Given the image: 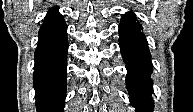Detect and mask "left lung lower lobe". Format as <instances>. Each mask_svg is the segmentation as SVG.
<instances>
[{"label": "left lung lower lobe", "instance_id": "1", "mask_svg": "<svg viewBox=\"0 0 193 112\" xmlns=\"http://www.w3.org/2000/svg\"><path fill=\"white\" fill-rule=\"evenodd\" d=\"M119 36L120 51L126 63V85L131 105L135 107L136 112H152L154 101L151 98L153 93L151 54L146 36L133 12L122 16Z\"/></svg>", "mask_w": 193, "mask_h": 112}]
</instances>
